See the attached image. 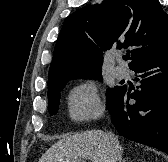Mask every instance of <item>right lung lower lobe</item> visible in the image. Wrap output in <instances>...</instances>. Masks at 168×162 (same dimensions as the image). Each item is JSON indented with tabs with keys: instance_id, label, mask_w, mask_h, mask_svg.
<instances>
[{
	"instance_id": "obj_1",
	"label": "right lung lower lobe",
	"mask_w": 168,
	"mask_h": 162,
	"mask_svg": "<svg viewBox=\"0 0 168 162\" xmlns=\"http://www.w3.org/2000/svg\"><path fill=\"white\" fill-rule=\"evenodd\" d=\"M131 70L141 85L133 92L120 86L108 108L112 123L122 136L168 154V49Z\"/></svg>"
}]
</instances>
